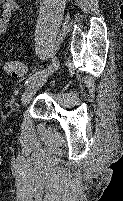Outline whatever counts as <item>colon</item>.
I'll return each instance as SVG.
<instances>
[{
    "label": "colon",
    "instance_id": "colon-1",
    "mask_svg": "<svg viewBox=\"0 0 123 201\" xmlns=\"http://www.w3.org/2000/svg\"><path fill=\"white\" fill-rule=\"evenodd\" d=\"M3 71L10 76H21L25 69L23 64L17 60H8L2 65Z\"/></svg>",
    "mask_w": 123,
    "mask_h": 201
}]
</instances>
